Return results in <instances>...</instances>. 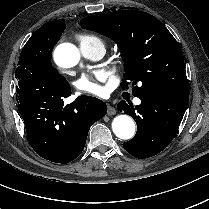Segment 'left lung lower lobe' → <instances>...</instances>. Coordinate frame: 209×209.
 Wrapping results in <instances>:
<instances>
[{
	"mask_svg": "<svg viewBox=\"0 0 209 209\" xmlns=\"http://www.w3.org/2000/svg\"><path fill=\"white\" fill-rule=\"evenodd\" d=\"M137 97L141 100L140 105L134 108L120 101L117 109L131 116L137 124L136 135L123 147L134 157L144 159L158 154L172 141L189 98L171 97L160 92H147Z\"/></svg>",
	"mask_w": 209,
	"mask_h": 209,
	"instance_id": "1",
	"label": "left lung lower lobe"
}]
</instances>
